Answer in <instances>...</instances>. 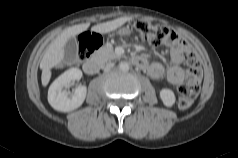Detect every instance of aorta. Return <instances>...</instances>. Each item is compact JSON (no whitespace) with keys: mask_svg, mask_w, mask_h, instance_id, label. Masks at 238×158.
I'll return each mask as SVG.
<instances>
[{"mask_svg":"<svg viewBox=\"0 0 238 158\" xmlns=\"http://www.w3.org/2000/svg\"><path fill=\"white\" fill-rule=\"evenodd\" d=\"M129 68H130L129 63H127V62H120V63H119V69H120L121 71L127 72V71L129 70Z\"/></svg>","mask_w":238,"mask_h":158,"instance_id":"762f6f07","label":"aorta"}]
</instances>
